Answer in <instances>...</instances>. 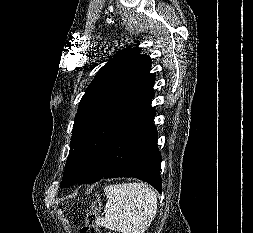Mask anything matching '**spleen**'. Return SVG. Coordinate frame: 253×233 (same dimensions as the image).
Returning a JSON list of instances; mask_svg holds the SVG:
<instances>
[{"label": "spleen", "instance_id": "spleen-1", "mask_svg": "<svg viewBox=\"0 0 253 233\" xmlns=\"http://www.w3.org/2000/svg\"><path fill=\"white\" fill-rule=\"evenodd\" d=\"M105 217L96 224L122 233H144L157 213V195L143 183L106 186Z\"/></svg>", "mask_w": 253, "mask_h": 233}]
</instances>
